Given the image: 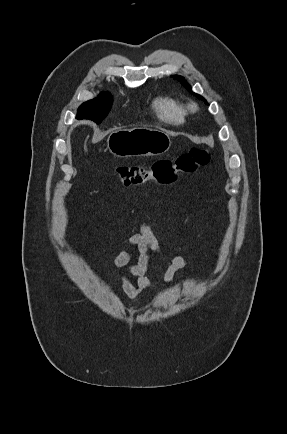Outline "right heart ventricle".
<instances>
[{"mask_svg": "<svg viewBox=\"0 0 287 434\" xmlns=\"http://www.w3.org/2000/svg\"><path fill=\"white\" fill-rule=\"evenodd\" d=\"M153 108L158 118L164 122H184L186 111L182 103L174 97L161 96L156 98L153 101Z\"/></svg>", "mask_w": 287, "mask_h": 434, "instance_id": "1", "label": "right heart ventricle"}]
</instances>
